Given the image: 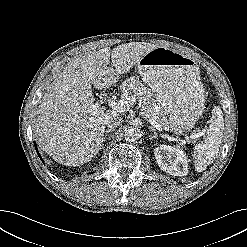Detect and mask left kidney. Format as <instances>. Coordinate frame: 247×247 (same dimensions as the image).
Masks as SVG:
<instances>
[{
  "mask_svg": "<svg viewBox=\"0 0 247 247\" xmlns=\"http://www.w3.org/2000/svg\"><path fill=\"white\" fill-rule=\"evenodd\" d=\"M155 158L161 170L173 176L188 174V159L186 154L175 147L160 145L154 149Z\"/></svg>",
  "mask_w": 247,
  "mask_h": 247,
  "instance_id": "left-kidney-1",
  "label": "left kidney"
}]
</instances>
